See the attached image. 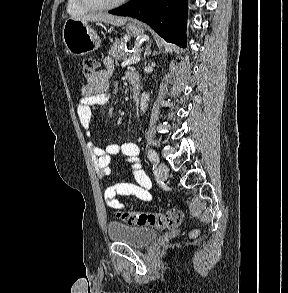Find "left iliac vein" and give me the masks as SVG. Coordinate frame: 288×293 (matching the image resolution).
Instances as JSON below:
<instances>
[{
	"instance_id": "4c4485c4",
	"label": "left iliac vein",
	"mask_w": 288,
	"mask_h": 293,
	"mask_svg": "<svg viewBox=\"0 0 288 293\" xmlns=\"http://www.w3.org/2000/svg\"><path fill=\"white\" fill-rule=\"evenodd\" d=\"M157 171H158V175L160 176V178H162V179H167L168 178L169 169L166 166V164L160 163L158 165Z\"/></svg>"
}]
</instances>
